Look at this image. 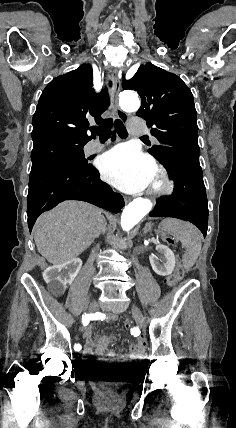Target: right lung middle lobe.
Instances as JSON below:
<instances>
[{
	"instance_id": "dd1d6c3e",
	"label": "right lung middle lobe",
	"mask_w": 236,
	"mask_h": 428,
	"mask_svg": "<svg viewBox=\"0 0 236 428\" xmlns=\"http://www.w3.org/2000/svg\"><path fill=\"white\" fill-rule=\"evenodd\" d=\"M84 140H53L33 146L31 153V172L58 164L76 167L86 166L83 146Z\"/></svg>"
}]
</instances>
